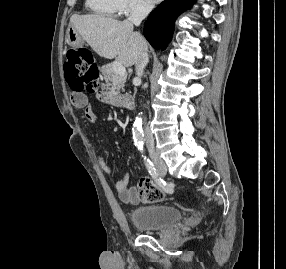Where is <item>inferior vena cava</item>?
Returning a JSON list of instances; mask_svg holds the SVG:
<instances>
[{"label": "inferior vena cava", "instance_id": "inferior-vena-cava-1", "mask_svg": "<svg viewBox=\"0 0 286 269\" xmlns=\"http://www.w3.org/2000/svg\"><path fill=\"white\" fill-rule=\"evenodd\" d=\"M153 5L149 3H143L142 1L138 2L132 9L130 16L128 17L127 21L139 26L142 20L146 18L149 12L152 10ZM148 54L147 49L144 48L142 50L141 56L136 63V74L138 77H141L143 74V70L148 63ZM145 133V141L146 146L149 152L150 158L153 160L158 157L155 148H154V137L150 131V129L146 126L144 129Z\"/></svg>", "mask_w": 286, "mask_h": 269}]
</instances>
